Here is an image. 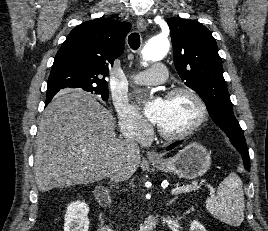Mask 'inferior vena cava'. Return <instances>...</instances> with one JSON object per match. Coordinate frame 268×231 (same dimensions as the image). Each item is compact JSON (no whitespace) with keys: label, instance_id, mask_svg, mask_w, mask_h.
Here are the masks:
<instances>
[{"label":"inferior vena cava","instance_id":"inferior-vena-cava-1","mask_svg":"<svg viewBox=\"0 0 268 231\" xmlns=\"http://www.w3.org/2000/svg\"><path fill=\"white\" fill-rule=\"evenodd\" d=\"M123 136H124V141L127 144V146L139 152V146L137 142L134 140V138L128 132H124ZM119 181H121V174L119 172H116L115 174L110 175L109 183L111 184V187H115Z\"/></svg>","mask_w":268,"mask_h":231}]
</instances>
